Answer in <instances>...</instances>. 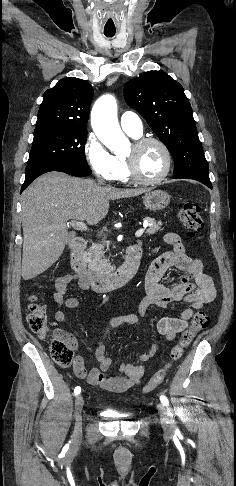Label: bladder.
Here are the masks:
<instances>
[{
	"label": "bladder",
	"instance_id": "1",
	"mask_svg": "<svg viewBox=\"0 0 236 486\" xmlns=\"http://www.w3.org/2000/svg\"><path fill=\"white\" fill-rule=\"evenodd\" d=\"M105 414L109 417H116V418H128L129 414L123 413L117 410H106Z\"/></svg>",
	"mask_w": 236,
	"mask_h": 486
}]
</instances>
